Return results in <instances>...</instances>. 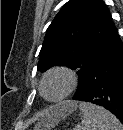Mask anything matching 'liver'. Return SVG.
<instances>
[{"instance_id": "obj_1", "label": "liver", "mask_w": 123, "mask_h": 130, "mask_svg": "<svg viewBox=\"0 0 123 130\" xmlns=\"http://www.w3.org/2000/svg\"><path fill=\"white\" fill-rule=\"evenodd\" d=\"M53 116H54V113L53 112H51V113H48V114H46L45 115V117L41 120V122L39 123V125L36 127V128H42L41 127V124L43 123H47V124H49L48 126H47V128H50L52 125H53V123L54 122H56V120H55V118H53Z\"/></svg>"}]
</instances>
